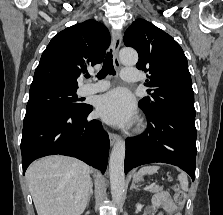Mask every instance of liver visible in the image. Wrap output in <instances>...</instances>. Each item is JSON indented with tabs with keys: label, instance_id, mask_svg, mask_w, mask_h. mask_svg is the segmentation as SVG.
I'll return each mask as SVG.
<instances>
[{
	"label": "liver",
	"instance_id": "6515ba94",
	"mask_svg": "<svg viewBox=\"0 0 223 215\" xmlns=\"http://www.w3.org/2000/svg\"><path fill=\"white\" fill-rule=\"evenodd\" d=\"M92 167L66 155H49L26 169L38 215H80L89 193Z\"/></svg>",
	"mask_w": 223,
	"mask_h": 215
}]
</instances>
